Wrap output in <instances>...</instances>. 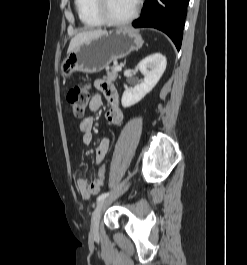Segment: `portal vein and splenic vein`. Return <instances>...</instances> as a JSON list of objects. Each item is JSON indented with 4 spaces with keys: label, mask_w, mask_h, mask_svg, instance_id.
<instances>
[{
    "label": "portal vein and splenic vein",
    "mask_w": 247,
    "mask_h": 265,
    "mask_svg": "<svg viewBox=\"0 0 247 265\" xmlns=\"http://www.w3.org/2000/svg\"><path fill=\"white\" fill-rule=\"evenodd\" d=\"M116 70H117V71H121V70H122V66H117V67H116Z\"/></svg>",
    "instance_id": "18ae733b"
}]
</instances>
